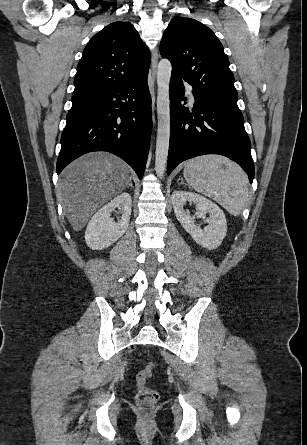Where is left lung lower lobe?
<instances>
[{
	"label": "left lung lower lobe",
	"instance_id": "1",
	"mask_svg": "<svg viewBox=\"0 0 307 445\" xmlns=\"http://www.w3.org/2000/svg\"><path fill=\"white\" fill-rule=\"evenodd\" d=\"M184 86L179 76L170 81V145L167 174L182 161L204 154H220L237 162L252 183L254 164L250 139L237 104L193 91L192 112L181 101ZM186 104V102H185Z\"/></svg>",
	"mask_w": 307,
	"mask_h": 445
}]
</instances>
